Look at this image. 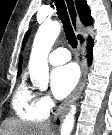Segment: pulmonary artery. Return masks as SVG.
Here are the masks:
<instances>
[{
	"mask_svg": "<svg viewBox=\"0 0 112 135\" xmlns=\"http://www.w3.org/2000/svg\"><path fill=\"white\" fill-rule=\"evenodd\" d=\"M71 59L70 52L65 48H57L53 50L48 57L49 63L52 65H60Z\"/></svg>",
	"mask_w": 112,
	"mask_h": 135,
	"instance_id": "obj_1",
	"label": "pulmonary artery"
}]
</instances>
